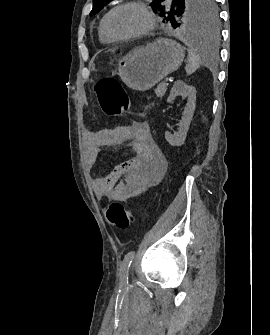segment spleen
<instances>
[{"instance_id": "3e777b00", "label": "spleen", "mask_w": 270, "mask_h": 335, "mask_svg": "<svg viewBox=\"0 0 270 335\" xmlns=\"http://www.w3.org/2000/svg\"><path fill=\"white\" fill-rule=\"evenodd\" d=\"M179 38L181 42H184V44L188 46L190 64L186 66L187 74H194L202 62H211V54H209L207 46H204L202 42H193V44H189V42H187L185 38H182V36H179Z\"/></svg>"}]
</instances>
